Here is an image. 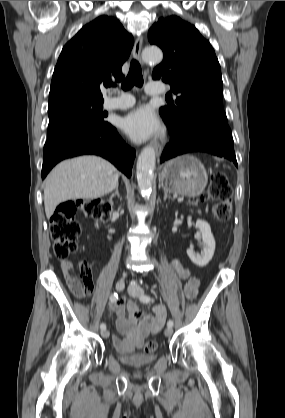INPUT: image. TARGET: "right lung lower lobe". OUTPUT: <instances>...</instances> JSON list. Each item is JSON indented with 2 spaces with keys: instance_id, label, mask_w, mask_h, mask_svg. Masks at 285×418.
Here are the masks:
<instances>
[{
  "instance_id": "right-lung-lower-lobe-1",
  "label": "right lung lower lobe",
  "mask_w": 285,
  "mask_h": 418,
  "mask_svg": "<svg viewBox=\"0 0 285 418\" xmlns=\"http://www.w3.org/2000/svg\"><path fill=\"white\" fill-rule=\"evenodd\" d=\"M86 154L102 156L131 177L136 152L108 123L104 127L74 128L48 139L44 145L42 178L61 160Z\"/></svg>"
}]
</instances>
